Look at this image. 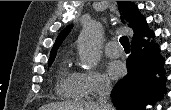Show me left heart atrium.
Segmentation results:
<instances>
[{
  "instance_id": "left-heart-atrium-1",
  "label": "left heart atrium",
  "mask_w": 171,
  "mask_h": 110,
  "mask_svg": "<svg viewBox=\"0 0 171 110\" xmlns=\"http://www.w3.org/2000/svg\"><path fill=\"white\" fill-rule=\"evenodd\" d=\"M107 75L112 79H117L123 75V65L118 61L110 62L106 67Z\"/></svg>"
}]
</instances>
